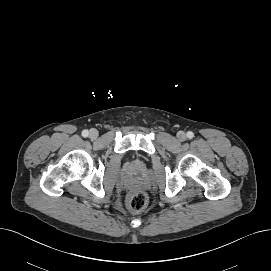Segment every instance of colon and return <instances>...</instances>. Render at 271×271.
Here are the masks:
<instances>
[{"label": "colon", "mask_w": 271, "mask_h": 271, "mask_svg": "<svg viewBox=\"0 0 271 271\" xmlns=\"http://www.w3.org/2000/svg\"><path fill=\"white\" fill-rule=\"evenodd\" d=\"M148 203L147 194L142 190L133 191L128 197V207L134 212L143 211Z\"/></svg>", "instance_id": "colon-1"}]
</instances>
